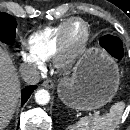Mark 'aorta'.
<instances>
[{"label":"aorta","mask_w":130,"mask_h":130,"mask_svg":"<svg viewBox=\"0 0 130 130\" xmlns=\"http://www.w3.org/2000/svg\"><path fill=\"white\" fill-rule=\"evenodd\" d=\"M35 100L40 105H46L50 100V95L47 90L41 89L35 93Z\"/></svg>","instance_id":"1"}]
</instances>
